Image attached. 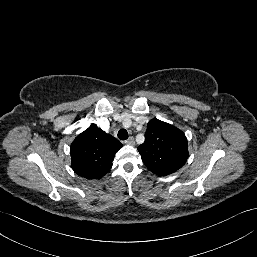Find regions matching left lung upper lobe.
Wrapping results in <instances>:
<instances>
[{
    "mask_svg": "<svg viewBox=\"0 0 257 257\" xmlns=\"http://www.w3.org/2000/svg\"><path fill=\"white\" fill-rule=\"evenodd\" d=\"M138 151L147 168L159 176L176 172L189 155L185 134L158 119L148 122L145 141L138 147Z\"/></svg>",
    "mask_w": 257,
    "mask_h": 257,
    "instance_id": "left-lung-upper-lobe-1",
    "label": "left lung upper lobe"
}]
</instances>
